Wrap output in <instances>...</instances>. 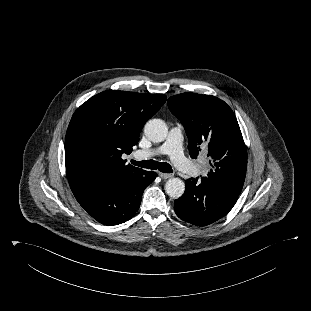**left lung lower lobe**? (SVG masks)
<instances>
[{
	"instance_id": "1",
	"label": "left lung lower lobe",
	"mask_w": 311,
	"mask_h": 311,
	"mask_svg": "<svg viewBox=\"0 0 311 311\" xmlns=\"http://www.w3.org/2000/svg\"><path fill=\"white\" fill-rule=\"evenodd\" d=\"M185 184V192L175 200L174 209L181 220L196 226H206L224 217L239 196L207 177L190 178Z\"/></svg>"
}]
</instances>
